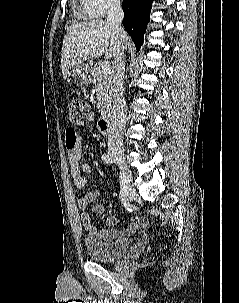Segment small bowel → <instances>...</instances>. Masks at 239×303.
<instances>
[{
	"instance_id": "1",
	"label": "small bowel",
	"mask_w": 239,
	"mask_h": 303,
	"mask_svg": "<svg viewBox=\"0 0 239 303\" xmlns=\"http://www.w3.org/2000/svg\"><path fill=\"white\" fill-rule=\"evenodd\" d=\"M94 114L90 113L88 119H93ZM82 125V122H77L65 133V149L67 153L68 166L71 177L75 186L78 189H84L87 186V179L82 176V173L91 172L92 168L87 163L81 162L83 142L81 136L77 132V128ZM95 139H101V136L94 134ZM100 196V191L97 189L84 193L77 201L78 207L82 210V224L88 235L92 240L110 241L117 237L129 236L138 229H143L148 225L145 218L136 217L127 222L121 228H117L119 223L115 216H108L106 218L107 227L99 229L92 221L93 215H100L104 211V205L97 203L89 205Z\"/></svg>"
}]
</instances>
